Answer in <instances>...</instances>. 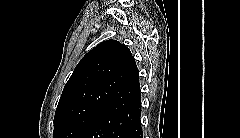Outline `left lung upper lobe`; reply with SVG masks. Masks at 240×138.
<instances>
[{
	"mask_svg": "<svg viewBox=\"0 0 240 138\" xmlns=\"http://www.w3.org/2000/svg\"><path fill=\"white\" fill-rule=\"evenodd\" d=\"M134 63L130 50L115 40L104 41L89 51L63 89L53 138H84Z\"/></svg>",
	"mask_w": 240,
	"mask_h": 138,
	"instance_id": "obj_1",
	"label": "left lung upper lobe"
}]
</instances>
